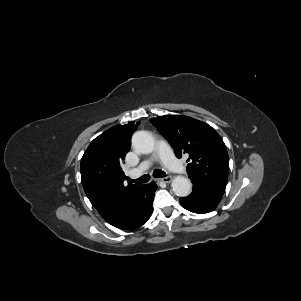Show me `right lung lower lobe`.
<instances>
[{
  "mask_svg": "<svg viewBox=\"0 0 301 301\" xmlns=\"http://www.w3.org/2000/svg\"><path fill=\"white\" fill-rule=\"evenodd\" d=\"M157 186L154 182L140 185L122 215L112 224L122 230H133L145 224L153 213V199Z\"/></svg>",
  "mask_w": 301,
  "mask_h": 301,
  "instance_id": "98d812e1",
  "label": "right lung lower lobe"
}]
</instances>
